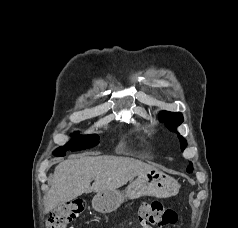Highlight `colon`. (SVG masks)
I'll use <instances>...</instances> for the list:
<instances>
[{"label": "colon", "instance_id": "colon-1", "mask_svg": "<svg viewBox=\"0 0 238 228\" xmlns=\"http://www.w3.org/2000/svg\"><path fill=\"white\" fill-rule=\"evenodd\" d=\"M86 208L82 199L73 200L55 208L46 223V228H68L69 225L81 215ZM139 218L143 224L158 227H167L177 223V213L165 207L162 203L153 201L143 203L139 208Z\"/></svg>", "mask_w": 238, "mask_h": 228}]
</instances>
